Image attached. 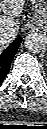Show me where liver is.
<instances>
[{
  "label": "liver",
  "mask_w": 47,
  "mask_h": 129,
  "mask_svg": "<svg viewBox=\"0 0 47 129\" xmlns=\"http://www.w3.org/2000/svg\"><path fill=\"white\" fill-rule=\"evenodd\" d=\"M25 0H0V31L14 30L16 34L19 30L18 17L23 11ZM10 41L0 40V49L2 50Z\"/></svg>",
  "instance_id": "6515ba94"
}]
</instances>
